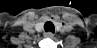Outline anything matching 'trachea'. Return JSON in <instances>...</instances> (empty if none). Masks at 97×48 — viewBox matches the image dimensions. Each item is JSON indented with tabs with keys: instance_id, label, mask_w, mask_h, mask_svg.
<instances>
[{
	"instance_id": "obj_1",
	"label": "trachea",
	"mask_w": 97,
	"mask_h": 48,
	"mask_svg": "<svg viewBox=\"0 0 97 48\" xmlns=\"http://www.w3.org/2000/svg\"><path fill=\"white\" fill-rule=\"evenodd\" d=\"M44 29L46 32H52V33L55 32L54 24L50 21H48L44 24Z\"/></svg>"
}]
</instances>
